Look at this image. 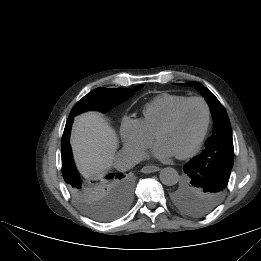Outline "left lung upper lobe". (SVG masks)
<instances>
[{"instance_id": "obj_1", "label": "left lung upper lobe", "mask_w": 261, "mask_h": 261, "mask_svg": "<svg viewBox=\"0 0 261 261\" xmlns=\"http://www.w3.org/2000/svg\"><path fill=\"white\" fill-rule=\"evenodd\" d=\"M194 86L207 101L214 121L213 134L206 141L205 150L189 163L197 165L198 175L185 176L173 192L174 204L193 216H204L222 201L233 166L234 148L231 125L226 110L206 87L196 81L178 83Z\"/></svg>"}]
</instances>
